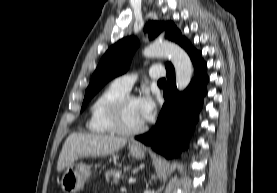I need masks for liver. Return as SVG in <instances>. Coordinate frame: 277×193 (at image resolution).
<instances>
[{
    "instance_id": "liver-1",
    "label": "liver",
    "mask_w": 277,
    "mask_h": 193,
    "mask_svg": "<svg viewBox=\"0 0 277 193\" xmlns=\"http://www.w3.org/2000/svg\"><path fill=\"white\" fill-rule=\"evenodd\" d=\"M126 143L125 138L93 133H73L68 136L62 147L57 162V171L61 172L70 167L79 158L112 154Z\"/></svg>"
}]
</instances>
